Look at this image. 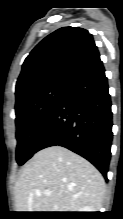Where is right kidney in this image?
Wrapping results in <instances>:
<instances>
[{"label":"right kidney","instance_id":"1","mask_svg":"<svg viewBox=\"0 0 123 219\" xmlns=\"http://www.w3.org/2000/svg\"><path fill=\"white\" fill-rule=\"evenodd\" d=\"M79 212H95L94 208L91 206H85Z\"/></svg>","mask_w":123,"mask_h":219}]
</instances>
